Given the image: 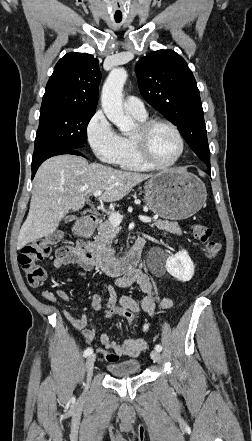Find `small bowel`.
<instances>
[{
	"mask_svg": "<svg viewBox=\"0 0 252 441\" xmlns=\"http://www.w3.org/2000/svg\"><path fill=\"white\" fill-rule=\"evenodd\" d=\"M138 243L141 244L140 241ZM69 264H79L88 271L93 269L92 266L85 264L81 260L72 246L64 245L57 250L54 265L60 268ZM134 284H136L144 294L141 302H137L129 296L118 295L117 290L119 288H126ZM103 292L107 296L106 300L98 293H94L90 296L91 307L96 312L103 311L110 305L135 304L139 310H143L150 317H153L158 308L168 309L172 306L170 299L162 298L156 293L151 276L141 270L127 272L117 278L112 284H106L103 288ZM43 296L47 300L54 302L70 300V295L63 290H57L54 293L45 291L43 292ZM62 313L71 326L82 333L87 342H91L95 338V330L89 324L85 314L75 317L67 310H63ZM100 342L105 349L112 350L119 357H136L146 349V342L139 338H130L122 343H118L113 340L109 334L104 333L100 336Z\"/></svg>",
	"mask_w": 252,
	"mask_h": 441,
	"instance_id": "1",
	"label": "small bowel"
}]
</instances>
